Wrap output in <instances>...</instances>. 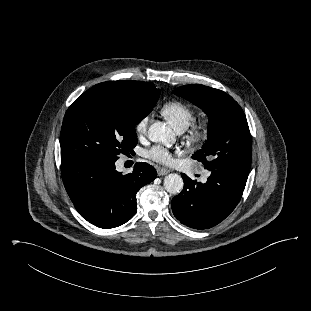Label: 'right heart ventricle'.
<instances>
[{
  "label": "right heart ventricle",
  "mask_w": 311,
  "mask_h": 311,
  "mask_svg": "<svg viewBox=\"0 0 311 311\" xmlns=\"http://www.w3.org/2000/svg\"><path fill=\"white\" fill-rule=\"evenodd\" d=\"M161 114L177 131L185 130L194 119L193 108L181 101H169L161 108Z\"/></svg>",
  "instance_id": "1"
}]
</instances>
